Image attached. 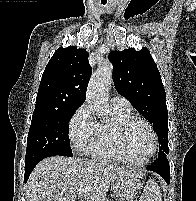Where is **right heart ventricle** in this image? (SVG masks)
Returning a JSON list of instances; mask_svg holds the SVG:
<instances>
[{
    "label": "right heart ventricle",
    "mask_w": 196,
    "mask_h": 201,
    "mask_svg": "<svg viewBox=\"0 0 196 201\" xmlns=\"http://www.w3.org/2000/svg\"><path fill=\"white\" fill-rule=\"evenodd\" d=\"M113 114L114 119L112 122L98 124L97 138L89 154L92 158L100 161L128 163L118 146L116 134L118 125L132 117L131 110L113 107Z\"/></svg>",
    "instance_id": "e07e8e85"
}]
</instances>
